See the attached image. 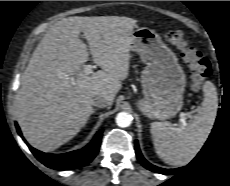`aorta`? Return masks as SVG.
Segmentation results:
<instances>
[{
    "mask_svg": "<svg viewBox=\"0 0 230 186\" xmlns=\"http://www.w3.org/2000/svg\"><path fill=\"white\" fill-rule=\"evenodd\" d=\"M133 117L128 112H120L116 116V124L125 128L131 125Z\"/></svg>",
    "mask_w": 230,
    "mask_h": 186,
    "instance_id": "aorta-1",
    "label": "aorta"
}]
</instances>
